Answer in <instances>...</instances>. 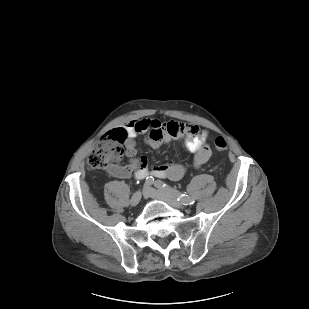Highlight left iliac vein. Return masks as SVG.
Returning a JSON list of instances; mask_svg holds the SVG:
<instances>
[{
	"mask_svg": "<svg viewBox=\"0 0 309 309\" xmlns=\"http://www.w3.org/2000/svg\"><path fill=\"white\" fill-rule=\"evenodd\" d=\"M143 192H144L145 195H147L151 198H154V199L162 200V201L168 203L172 207H175V208H178V209L184 208V206L181 202H179L175 197L167 194L164 191L156 190L152 187L146 186V187H144Z\"/></svg>",
	"mask_w": 309,
	"mask_h": 309,
	"instance_id": "obj_1",
	"label": "left iliac vein"
}]
</instances>
